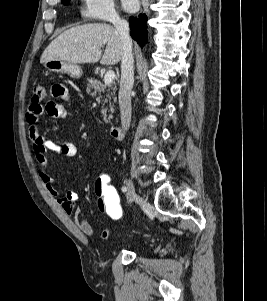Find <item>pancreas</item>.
I'll return each instance as SVG.
<instances>
[{
	"instance_id": "obj_1",
	"label": "pancreas",
	"mask_w": 267,
	"mask_h": 301,
	"mask_svg": "<svg viewBox=\"0 0 267 301\" xmlns=\"http://www.w3.org/2000/svg\"><path fill=\"white\" fill-rule=\"evenodd\" d=\"M88 83H87V92L91 93L92 96H100L101 93L105 94V100H104V104L102 106V110H101V114L103 115V120L105 123H109L110 120L112 119V115H110L109 117L107 116V111L113 112V106H114V102H112V100H116L115 97V92H116V85L115 83H110V84H105L102 83L100 80L98 79H94V78H90L87 79ZM109 103V108L105 107V104Z\"/></svg>"
}]
</instances>
